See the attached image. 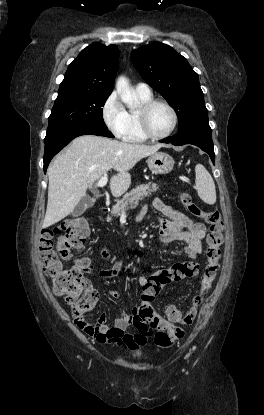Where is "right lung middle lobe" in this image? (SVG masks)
I'll list each match as a JSON object with an SVG mask.
<instances>
[{"label": "right lung middle lobe", "mask_w": 264, "mask_h": 415, "mask_svg": "<svg viewBox=\"0 0 264 415\" xmlns=\"http://www.w3.org/2000/svg\"><path fill=\"white\" fill-rule=\"evenodd\" d=\"M109 95H58L48 119V129L44 142L80 127H106L102 107Z\"/></svg>", "instance_id": "right-lung-middle-lobe-1"}]
</instances>
